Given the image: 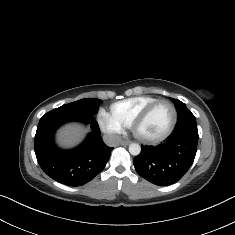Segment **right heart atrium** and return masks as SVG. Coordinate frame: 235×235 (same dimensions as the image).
<instances>
[{
    "label": "right heart atrium",
    "instance_id": "obj_1",
    "mask_svg": "<svg viewBox=\"0 0 235 235\" xmlns=\"http://www.w3.org/2000/svg\"><path fill=\"white\" fill-rule=\"evenodd\" d=\"M96 119L101 129L114 137L124 131V127L103 107L99 108Z\"/></svg>",
    "mask_w": 235,
    "mask_h": 235
}]
</instances>
